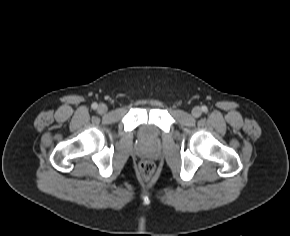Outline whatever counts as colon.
I'll return each instance as SVG.
<instances>
[{"instance_id":"1","label":"colon","mask_w":290,"mask_h":236,"mask_svg":"<svg viewBox=\"0 0 290 236\" xmlns=\"http://www.w3.org/2000/svg\"><path fill=\"white\" fill-rule=\"evenodd\" d=\"M138 171L143 178H150L155 171V165L151 161L143 160L138 165Z\"/></svg>"}]
</instances>
